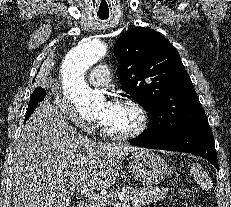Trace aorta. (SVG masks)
<instances>
[{
  "label": "aorta",
  "mask_w": 231,
  "mask_h": 207,
  "mask_svg": "<svg viewBox=\"0 0 231 207\" xmlns=\"http://www.w3.org/2000/svg\"><path fill=\"white\" fill-rule=\"evenodd\" d=\"M106 45L97 39L79 43L66 55L62 67V87L66 98L82 113L93 112L103 96L85 82V72L106 56Z\"/></svg>",
  "instance_id": "762f6f07"
}]
</instances>
